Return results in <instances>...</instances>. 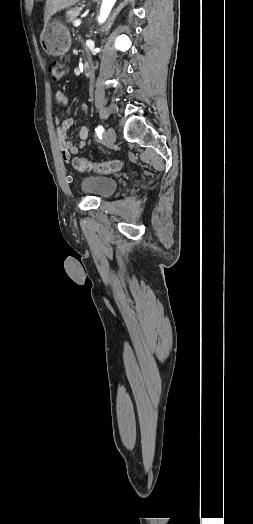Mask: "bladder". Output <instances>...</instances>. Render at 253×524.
<instances>
[{
	"label": "bladder",
	"instance_id": "31cf9c89",
	"mask_svg": "<svg viewBox=\"0 0 253 524\" xmlns=\"http://www.w3.org/2000/svg\"><path fill=\"white\" fill-rule=\"evenodd\" d=\"M80 187L83 193L107 199L116 191L118 181L108 176L88 175L82 178Z\"/></svg>",
	"mask_w": 253,
	"mask_h": 524
}]
</instances>
